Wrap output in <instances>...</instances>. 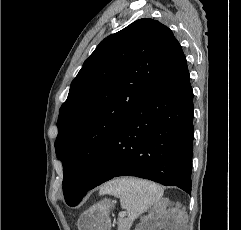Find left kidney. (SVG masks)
Returning <instances> with one entry per match:
<instances>
[{
  "label": "left kidney",
  "mask_w": 241,
  "mask_h": 230,
  "mask_svg": "<svg viewBox=\"0 0 241 230\" xmlns=\"http://www.w3.org/2000/svg\"><path fill=\"white\" fill-rule=\"evenodd\" d=\"M155 226H151V225H145L143 227H141L140 229L137 230H153Z\"/></svg>",
  "instance_id": "5707ae66"
}]
</instances>
